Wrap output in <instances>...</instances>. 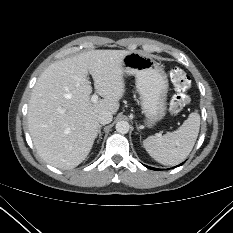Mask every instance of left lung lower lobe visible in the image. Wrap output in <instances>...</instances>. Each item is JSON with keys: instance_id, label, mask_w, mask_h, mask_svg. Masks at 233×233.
<instances>
[{"instance_id": "left-lung-lower-lobe-1", "label": "left lung lower lobe", "mask_w": 233, "mask_h": 233, "mask_svg": "<svg viewBox=\"0 0 233 233\" xmlns=\"http://www.w3.org/2000/svg\"><path fill=\"white\" fill-rule=\"evenodd\" d=\"M183 164V163H182ZM147 168H149V169H152V170H155V168H152V167H148V166H146Z\"/></svg>"}]
</instances>
